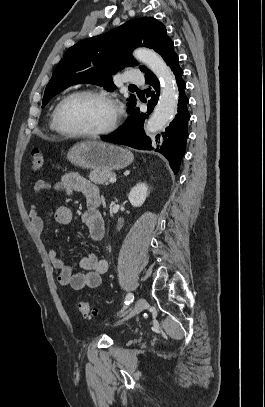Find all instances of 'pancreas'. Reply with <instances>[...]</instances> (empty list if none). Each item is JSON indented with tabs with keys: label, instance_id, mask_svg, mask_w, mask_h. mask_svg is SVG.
Listing matches in <instances>:
<instances>
[{
	"label": "pancreas",
	"instance_id": "obj_1",
	"mask_svg": "<svg viewBox=\"0 0 265 407\" xmlns=\"http://www.w3.org/2000/svg\"><path fill=\"white\" fill-rule=\"evenodd\" d=\"M113 176V173L103 170H93L89 174V179L99 185L108 184V179Z\"/></svg>",
	"mask_w": 265,
	"mask_h": 407
}]
</instances>
